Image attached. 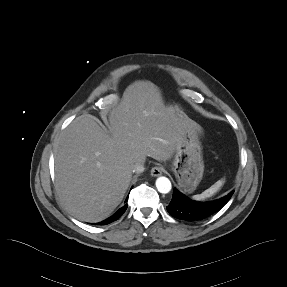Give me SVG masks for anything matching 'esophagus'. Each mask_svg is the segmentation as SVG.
Wrapping results in <instances>:
<instances>
[{"label":"esophagus","mask_w":287,"mask_h":287,"mask_svg":"<svg viewBox=\"0 0 287 287\" xmlns=\"http://www.w3.org/2000/svg\"><path fill=\"white\" fill-rule=\"evenodd\" d=\"M164 169L162 166H154L151 169V175L154 177L160 176L163 173Z\"/></svg>","instance_id":"obj_1"}]
</instances>
